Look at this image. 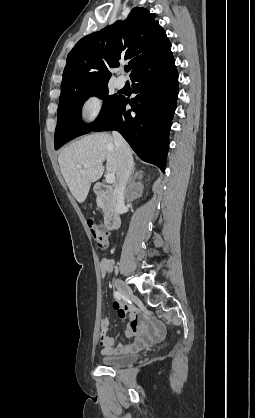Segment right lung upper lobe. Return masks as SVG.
<instances>
[{
    "mask_svg": "<svg viewBox=\"0 0 255 418\" xmlns=\"http://www.w3.org/2000/svg\"><path fill=\"white\" fill-rule=\"evenodd\" d=\"M172 56L171 44L156 15L135 7L125 21L80 39L67 56L61 93L106 83L111 77L108 68L129 60L130 77Z\"/></svg>",
    "mask_w": 255,
    "mask_h": 418,
    "instance_id": "right-lung-upper-lobe-1",
    "label": "right lung upper lobe"
}]
</instances>
